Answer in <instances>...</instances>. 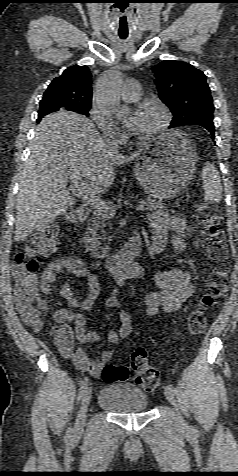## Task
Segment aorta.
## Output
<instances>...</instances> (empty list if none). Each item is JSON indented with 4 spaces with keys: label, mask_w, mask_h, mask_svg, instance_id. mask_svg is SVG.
Segmentation results:
<instances>
[{
    "label": "aorta",
    "mask_w": 238,
    "mask_h": 476,
    "mask_svg": "<svg viewBox=\"0 0 238 476\" xmlns=\"http://www.w3.org/2000/svg\"><path fill=\"white\" fill-rule=\"evenodd\" d=\"M120 85V73L112 70L106 74L96 89V103L107 116L119 118L129 113L128 107L120 103Z\"/></svg>",
    "instance_id": "aorta-1"
}]
</instances>
